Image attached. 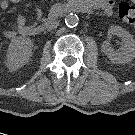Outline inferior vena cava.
Here are the masks:
<instances>
[{"mask_svg":"<svg viewBox=\"0 0 135 135\" xmlns=\"http://www.w3.org/2000/svg\"><path fill=\"white\" fill-rule=\"evenodd\" d=\"M58 25H59V21H54V22L48 24L47 29L52 30V29L56 28Z\"/></svg>","mask_w":135,"mask_h":135,"instance_id":"inferior-vena-cava-1","label":"inferior vena cava"}]
</instances>
